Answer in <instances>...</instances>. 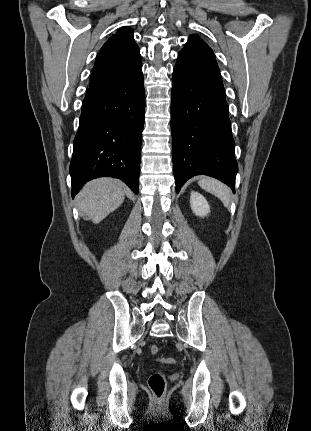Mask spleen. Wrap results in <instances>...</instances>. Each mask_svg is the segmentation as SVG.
Instances as JSON below:
<instances>
[{
	"mask_svg": "<svg viewBox=\"0 0 311 431\" xmlns=\"http://www.w3.org/2000/svg\"><path fill=\"white\" fill-rule=\"evenodd\" d=\"M198 184L203 188V190H206V192H210V194L217 196V198L223 202L224 206L228 208L231 194L228 186L221 184L218 180H213V178H201Z\"/></svg>",
	"mask_w": 311,
	"mask_h": 431,
	"instance_id": "obj_1",
	"label": "spleen"
}]
</instances>
